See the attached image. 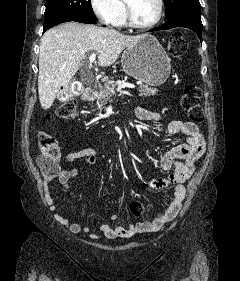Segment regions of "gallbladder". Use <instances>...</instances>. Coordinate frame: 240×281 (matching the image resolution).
<instances>
[{
	"label": "gallbladder",
	"mask_w": 240,
	"mask_h": 281,
	"mask_svg": "<svg viewBox=\"0 0 240 281\" xmlns=\"http://www.w3.org/2000/svg\"><path fill=\"white\" fill-rule=\"evenodd\" d=\"M67 92H68L69 94H71V88L67 89ZM58 99L61 101V100H62V96L58 97Z\"/></svg>",
	"instance_id": "gallbladder-1"
}]
</instances>
